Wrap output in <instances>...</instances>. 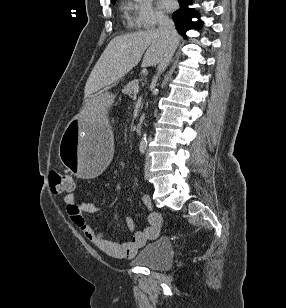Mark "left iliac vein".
Segmentation results:
<instances>
[{
	"label": "left iliac vein",
	"instance_id": "4c4485c4",
	"mask_svg": "<svg viewBox=\"0 0 286 308\" xmlns=\"http://www.w3.org/2000/svg\"><path fill=\"white\" fill-rule=\"evenodd\" d=\"M150 165H151V161H150V158L147 156L145 166H144V177H145V179H148L149 176H150Z\"/></svg>",
	"mask_w": 286,
	"mask_h": 308
}]
</instances>
